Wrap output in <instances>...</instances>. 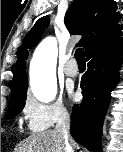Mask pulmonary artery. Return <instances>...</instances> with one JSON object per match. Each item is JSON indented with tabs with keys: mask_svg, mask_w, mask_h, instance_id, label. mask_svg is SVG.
Returning <instances> with one entry per match:
<instances>
[{
	"mask_svg": "<svg viewBox=\"0 0 123 152\" xmlns=\"http://www.w3.org/2000/svg\"><path fill=\"white\" fill-rule=\"evenodd\" d=\"M63 71L67 76L75 77L78 74V67L76 61L74 59L68 61V63L64 66Z\"/></svg>",
	"mask_w": 123,
	"mask_h": 152,
	"instance_id": "1",
	"label": "pulmonary artery"
}]
</instances>
